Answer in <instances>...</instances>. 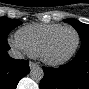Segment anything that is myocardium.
<instances>
[{
	"mask_svg": "<svg viewBox=\"0 0 89 89\" xmlns=\"http://www.w3.org/2000/svg\"><path fill=\"white\" fill-rule=\"evenodd\" d=\"M64 30H72L75 35H76V43L74 48L72 49V51L66 55L65 57L59 58V59H51L46 55V51L50 45V43L52 42V40L62 31ZM80 46V34L78 32L77 29H75L73 26L70 25H66V26H62L61 28H59L58 30H56L54 33H52L51 35H49L45 42L42 44L41 48H40V53H39V58L46 64L51 65V66H58V65H62L66 62H68L77 52L78 48Z\"/></svg>",
	"mask_w": 89,
	"mask_h": 89,
	"instance_id": "1",
	"label": "myocardium"
}]
</instances>
